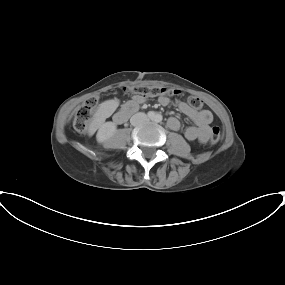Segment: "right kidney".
<instances>
[{
	"instance_id": "obj_1",
	"label": "right kidney",
	"mask_w": 285,
	"mask_h": 285,
	"mask_svg": "<svg viewBox=\"0 0 285 285\" xmlns=\"http://www.w3.org/2000/svg\"><path fill=\"white\" fill-rule=\"evenodd\" d=\"M117 126L113 122H105L102 124L96 134V140L100 144L106 143L116 132Z\"/></svg>"
}]
</instances>
